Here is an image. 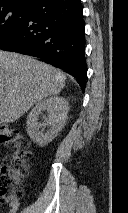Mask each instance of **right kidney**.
I'll list each match as a JSON object with an SVG mask.
<instances>
[{"instance_id":"right-kidney-1","label":"right kidney","mask_w":128,"mask_h":213,"mask_svg":"<svg viewBox=\"0 0 128 213\" xmlns=\"http://www.w3.org/2000/svg\"><path fill=\"white\" fill-rule=\"evenodd\" d=\"M43 111H47L48 116L40 123L38 117ZM68 111L69 104L64 97L53 96L39 101L27 116V133L31 140L40 146L48 145L62 130Z\"/></svg>"}]
</instances>
